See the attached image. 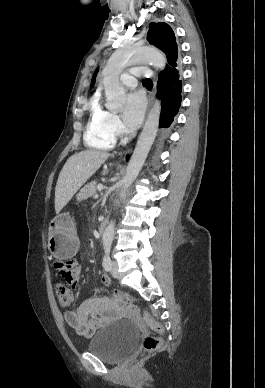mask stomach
I'll list each match as a JSON object with an SVG mask.
<instances>
[{
  "label": "stomach",
  "instance_id": "0dacf381",
  "mask_svg": "<svg viewBox=\"0 0 265 388\" xmlns=\"http://www.w3.org/2000/svg\"><path fill=\"white\" fill-rule=\"evenodd\" d=\"M48 247L52 255L68 259L78 247L77 229L69 214L56 216L49 225Z\"/></svg>",
  "mask_w": 265,
  "mask_h": 388
}]
</instances>
